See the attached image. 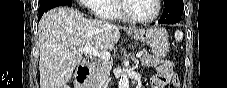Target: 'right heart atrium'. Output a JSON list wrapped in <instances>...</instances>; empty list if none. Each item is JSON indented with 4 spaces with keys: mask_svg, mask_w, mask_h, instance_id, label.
<instances>
[{
    "mask_svg": "<svg viewBox=\"0 0 227 88\" xmlns=\"http://www.w3.org/2000/svg\"><path fill=\"white\" fill-rule=\"evenodd\" d=\"M95 1H96V0H81L80 2L85 3V4H89V5H93V3H94Z\"/></svg>",
    "mask_w": 227,
    "mask_h": 88,
    "instance_id": "right-heart-atrium-1",
    "label": "right heart atrium"
}]
</instances>
